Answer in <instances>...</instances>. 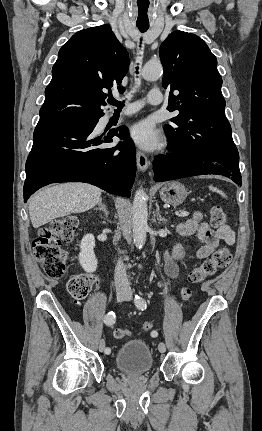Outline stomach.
I'll return each instance as SVG.
<instances>
[{"mask_svg":"<svg viewBox=\"0 0 262 431\" xmlns=\"http://www.w3.org/2000/svg\"><path fill=\"white\" fill-rule=\"evenodd\" d=\"M159 192L162 201L172 205L181 204L188 194L185 186L177 181L166 183Z\"/></svg>","mask_w":262,"mask_h":431,"instance_id":"stomach-1","label":"stomach"}]
</instances>
